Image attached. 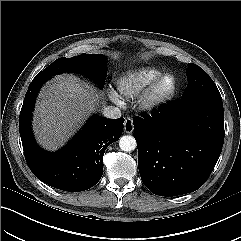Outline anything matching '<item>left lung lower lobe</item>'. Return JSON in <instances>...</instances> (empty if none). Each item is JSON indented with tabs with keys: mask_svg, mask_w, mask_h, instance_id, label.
Instances as JSON below:
<instances>
[{
	"mask_svg": "<svg viewBox=\"0 0 241 241\" xmlns=\"http://www.w3.org/2000/svg\"><path fill=\"white\" fill-rule=\"evenodd\" d=\"M144 185L160 196L193 192L208 179L224 143L222 98L170 101L133 120Z\"/></svg>",
	"mask_w": 241,
	"mask_h": 241,
	"instance_id": "left-lung-lower-lobe-1",
	"label": "left lung lower lobe"
}]
</instances>
